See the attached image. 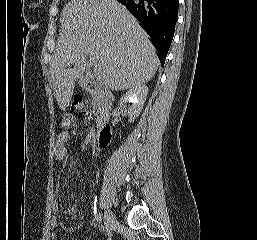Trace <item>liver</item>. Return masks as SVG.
I'll return each instance as SVG.
<instances>
[{
  "label": "liver",
  "instance_id": "6515ba94",
  "mask_svg": "<svg viewBox=\"0 0 257 240\" xmlns=\"http://www.w3.org/2000/svg\"><path fill=\"white\" fill-rule=\"evenodd\" d=\"M61 33L51 65L58 106L65 111L87 57L100 66L99 80L112 90L143 85L155 75L159 60L148 35L116 0H71L63 8ZM75 64L73 69L68 68Z\"/></svg>",
  "mask_w": 257,
  "mask_h": 240
}]
</instances>
